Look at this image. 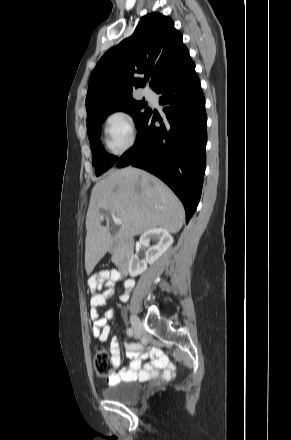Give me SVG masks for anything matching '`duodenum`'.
Returning <instances> with one entry per match:
<instances>
[{"label":"duodenum","mask_w":291,"mask_h":440,"mask_svg":"<svg viewBox=\"0 0 291 440\" xmlns=\"http://www.w3.org/2000/svg\"><path fill=\"white\" fill-rule=\"evenodd\" d=\"M108 240L112 242L113 245H118L120 247L118 255V267L121 272L127 274L131 267L134 256V241L130 238L121 237L116 234L109 235Z\"/></svg>","instance_id":"1"}]
</instances>
